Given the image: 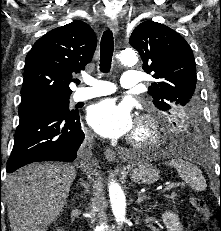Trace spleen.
Instances as JSON below:
<instances>
[{"label":"spleen","mask_w":221,"mask_h":231,"mask_svg":"<svg viewBox=\"0 0 221 231\" xmlns=\"http://www.w3.org/2000/svg\"><path fill=\"white\" fill-rule=\"evenodd\" d=\"M165 164L175 168L180 178L189 184L192 189L196 191H204L206 189L207 185L202 172L193 163L179 158H174Z\"/></svg>","instance_id":"3e777b00"}]
</instances>
